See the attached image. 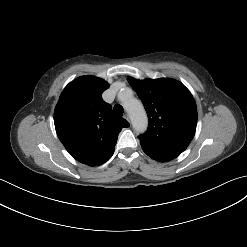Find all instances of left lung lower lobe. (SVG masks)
<instances>
[{
	"label": "left lung lower lobe",
	"instance_id": "left-lung-lower-lobe-1",
	"mask_svg": "<svg viewBox=\"0 0 247 247\" xmlns=\"http://www.w3.org/2000/svg\"><path fill=\"white\" fill-rule=\"evenodd\" d=\"M140 144L142 146L143 151L152 159L159 162H167L176 157H178L181 153L173 152V151H165L159 148L153 147L143 141L140 140Z\"/></svg>",
	"mask_w": 247,
	"mask_h": 247
}]
</instances>
